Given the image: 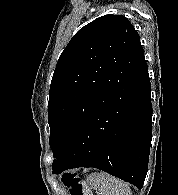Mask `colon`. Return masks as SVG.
<instances>
[{
    "instance_id": "5ec220e1",
    "label": "colon",
    "mask_w": 178,
    "mask_h": 195,
    "mask_svg": "<svg viewBox=\"0 0 178 195\" xmlns=\"http://www.w3.org/2000/svg\"><path fill=\"white\" fill-rule=\"evenodd\" d=\"M64 185L70 190V195H92L75 173H67L63 176Z\"/></svg>"
}]
</instances>
